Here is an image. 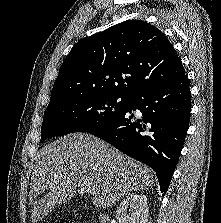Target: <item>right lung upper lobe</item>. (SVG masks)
<instances>
[{
	"label": "right lung upper lobe",
	"mask_w": 221,
	"mask_h": 223,
	"mask_svg": "<svg viewBox=\"0 0 221 223\" xmlns=\"http://www.w3.org/2000/svg\"><path fill=\"white\" fill-rule=\"evenodd\" d=\"M185 75L165 34L141 20H127L79 40L54 83L50 103L82 94L131 98Z\"/></svg>",
	"instance_id": "cb5924a9"
}]
</instances>
